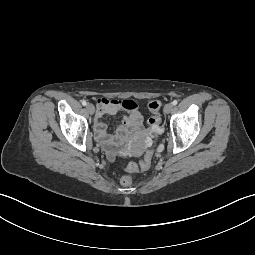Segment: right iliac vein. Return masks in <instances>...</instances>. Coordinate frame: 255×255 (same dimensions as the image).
<instances>
[{
  "label": "right iliac vein",
  "mask_w": 255,
  "mask_h": 255,
  "mask_svg": "<svg viewBox=\"0 0 255 255\" xmlns=\"http://www.w3.org/2000/svg\"><path fill=\"white\" fill-rule=\"evenodd\" d=\"M86 109H87L88 113L91 114V115L95 112V107H94L93 104H90V103L87 104Z\"/></svg>",
  "instance_id": "1"
}]
</instances>
